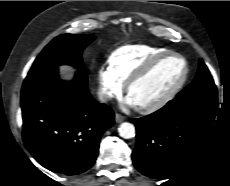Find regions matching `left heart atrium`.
Listing matches in <instances>:
<instances>
[{"instance_id":"left-heart-atrium-1","label":"left heart atrium","mask_w":230,"mask_h":186,"mask_svg":"<svg viewBox=\"0 0 230 186\" xmlns=\"http://www.w3.org/2000/svg\"><path fill=\"white\" fill-rule=\"evenodd\" d=\"M125 104L128 106H135V103L133 102V100L129 96L126 97Z\"/></svg>"}]
</instances>
